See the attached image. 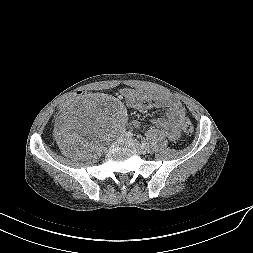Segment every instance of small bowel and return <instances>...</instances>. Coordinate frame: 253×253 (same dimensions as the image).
Returning <instances> with one entry per match:
<instances>
[{
    "label": "small bowel",
    "mask_w": 253,
    "mask_h": 253,
    "mask_svg": "<svg viewBox=\"0 0 253 253\" xmlns=\"http://www.w3.org/2000/svg\"><path fill=\"white\" fill-rule=\"evenodd\" d=\"M121 95L129 107L140 112H146L151 108L164 109V116L154 119L153 123L170 140L178 139L180 135V124L185 118V108L181 102L149 91L132 88L122 89ZM66 110H68V107L63 112H66ZM133 126L138 127L139 123L134 121Z\"/></svg>",
    "instance_id": "obj_1"
}]
</instances>
